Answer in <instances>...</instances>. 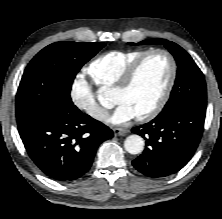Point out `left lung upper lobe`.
Listing matches in <instances>:
<instances>
[{
  "label": "left lung upper lobe",
  "mask_w": 222,
  "mask_h": 219,
  "mask_svg": "<svg viewBox=\"0 0 222 219\" xmlns=\"http://www.w3.org/2000/svg\"><path fill=\"white\" fill-rule=\"evenodd\" d=\"M129 44L135 46L163 44L174 56L178 65V72L170 99L166 103L164 109L180 102L191 103L206 108L207 91L204 75L191 56L183 48L165 39H149L139 43Z\"/></svg>",
  "instance_id": "left-lung-upper-lobe-1"
}]
</instances>
